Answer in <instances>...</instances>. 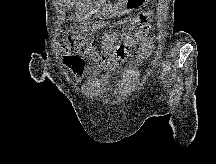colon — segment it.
<instances>
[{
	"label": "colon",
	"instance_id": "colon-1",
	"mask_svg": "<svg viewBox=\"0 0 216 164\" xmlns=\"http://www.w3.org/2000/svg\"><path fill=\"white\" fill-rule=\"evenodd\" d=\"M62 46L67 51L69 56L65 57L64 61L75 72L79 73L84 65V60L78 56L81 52H86L92 47V43L82 37L74 34L67 35L62 39Z\"/></svg>",
	"mask_w": 216,
	"mask_h": 164
}]
</instances>
